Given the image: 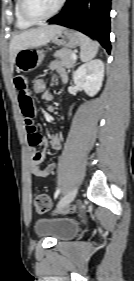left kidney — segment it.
<instances>
[{"label":"left kidney","instance_id":"1","mask_svg":"<svg viewBox=\"0 0 134 281\" xmlns=\"http://www.w3.org/2000/svg\"><path fill=\"white\" fill-rule=\"evenodd\" d=\"M103 77L104 63L100 59H96L78 67L73 80L88 96H94L101 89Z\"/></svg>","mask_w":134,"mask_h":281}]
</instances>
